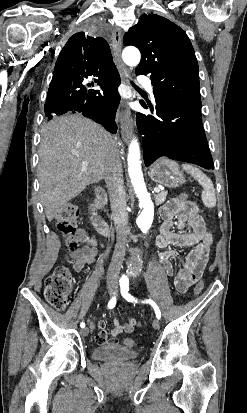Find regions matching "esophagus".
Listing matches in <instances>:
<instances>
[{"instance_id": "obj_1", "label": "esophagus", "mask_w": 247, "mask_h": 413, "mask_svg": "<svg viewBox=\"0 0 247 413\" xmlns=\"http://www.w3.org/2000/svg\"><path fill=\"white\" fill-rule=\"evenodd\" d=\"M111 41L114 48L115 62L121 75L122 81L126 82L127 70L123 62L121 61V32L119 28L112 31ZM121 136L123 140L128 143L132 137L134 125L130 108L124 106L120 118Z\"/></svg>"}]
</instances>
